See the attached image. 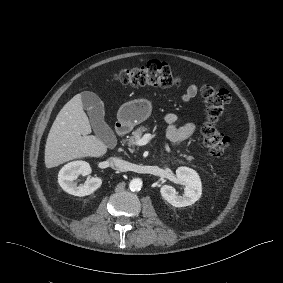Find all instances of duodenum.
I'll list each match as a JSON object with an SVG mask.
<instances>
[{
	"instance_id": "duodenum-1",
	"label": "duodenum",
	"mask_w": 283,
	"mask_h": 283,
	"mask_svg": "<svg viewBox=\"0 0 283 283\" xmlns=\"http://www.w3.org/2000/svg\"><path fill=\"white\" fill-rule=\"evenodd\" d=\"M127 129H128L127 125L123 122H118L115 125V133L118 136H123L127 132Z\"/></svg>"
}]
</instances>
